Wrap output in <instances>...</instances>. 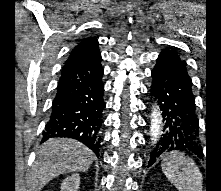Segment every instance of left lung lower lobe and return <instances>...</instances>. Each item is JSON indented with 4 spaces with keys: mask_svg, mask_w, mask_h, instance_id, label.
I'll use <instances>...</instances> for the list:
<instances>
[{
    "mask_svg": "<svg viewBox=\"0 0 221 191\" xmlns=\"http://www.w3.org/2000/svg\"><path fill=\"white\" fill-rule=\"evenodd\" d=\"M151 95L158 101L164 127L153 149L148 167L157 158L174 151H184L202 157L199 121L196 115L192 81L186 62L171 50H164L152 73Z\"/></svg>",
    "mask_w": 221,
    "mask_h": 191,
    "instance_id": "0a47b994",
    "label": "left lung lower lobe"
}]
</instances>
